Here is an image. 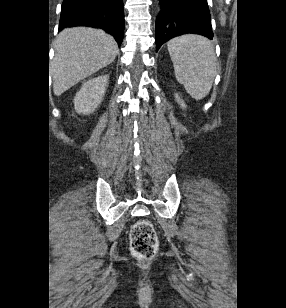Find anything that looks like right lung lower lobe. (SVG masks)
I'll list each match as a JSON object with an SVG mask.
<instances>
[{
	"instance_id": "98d812e1",
	"label": "right lung lower lobe",
	"mask_w": 286,
	"mask_h": 308,
	"mask_svg": "<svg viewBox=\"0 0 286 308\" xmlns=\"http://www.w3.org/2000/svg\"><path fill=\"white\" fill-rule=\"evenodd\" d=\"M75 26L104 29L120 46L125 26L123 0H63L59 31Z\"/></svg>"
}]
</instances>
